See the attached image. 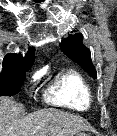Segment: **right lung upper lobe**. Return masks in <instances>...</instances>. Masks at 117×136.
<instances>
[{
	"instance_id": "right-lung-upper-lobe-1",
	"label": "right lung upper lobe",
	"mask_w": 117,
	"mask_h": 136,
	"mask_svg": "<svg viewBox=\"0 0 117 136\" xmlns=\"http://www.w3.org/2000/svg\"><path fill=\"white\" fill-rule=\"evenodd\" d=\"M33 62L34 48H30L25 57H23L21 54H7L3 61V68H30Z\"/></svg>"
}]
</instances>
